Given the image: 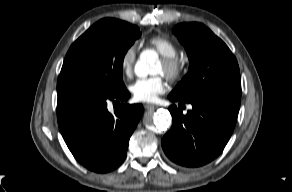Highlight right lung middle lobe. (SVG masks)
<instances>
[{
	"label": "right lung middle lobe",
	"instance_id": "right-lung-middle-lobe-1",
	"mask_svg": "<svg viewBox=\"0 0 292 192\" xmlns=\"http://www.w3.org/2000/svg\"><path fill=\"white\" fill-rule=\"evenodd\" d=\"M140 36L139 28L127 22L113 18L98 21L71 45L57 87L75 84L105 93L122 91L123 59Z\"/></svg>",
	"mask_w": 292,
	"mask_h": 192
}]
</instances>
